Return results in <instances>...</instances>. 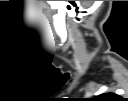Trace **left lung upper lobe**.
Listing matches in <instances>:
<instances>
[{"label":"left lung upper lobe","mask_w":128,"mask_h":101,"mask_svg":"<svg viewBox=\"0 0 128 101\" xmlns=\"http://www.w3.org/2000/svg\"><path fill=\"white\" fill-rule=\"evenodd\" d=\"M117 97L118 96L116 94L106 93V94L100 95L98 99H100V100L108 99V101H113V100L117 99Z\"/></svg>","instance_id":"obj_1"}]
</instances>
